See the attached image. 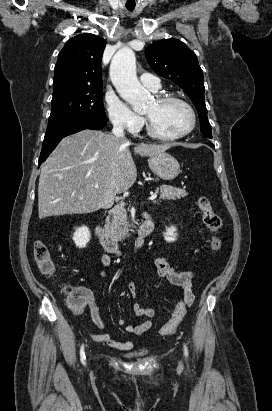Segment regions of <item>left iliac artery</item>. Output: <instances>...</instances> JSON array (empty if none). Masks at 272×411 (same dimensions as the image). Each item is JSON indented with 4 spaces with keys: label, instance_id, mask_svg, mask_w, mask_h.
<instances>
[{
    "label": "left iliac artery",
    "instance_id": "44dca946",
    "mask_svg": "<svg viewBox=\"0 0 272 411\" xmlns=\"http://www.w3.org/2000/svg\"><path fill=\"white\" fill-rule=\"evenodd\" d=\"M184 354H185V357H188V349L185 344H184Z\"/></svg>",
    "mask_w": 272,
    "mask_h": 411
}]
</instances>
